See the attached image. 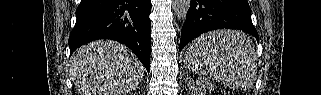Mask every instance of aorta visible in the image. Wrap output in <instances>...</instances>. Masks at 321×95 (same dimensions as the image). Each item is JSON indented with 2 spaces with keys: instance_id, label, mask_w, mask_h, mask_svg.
Instances as JSON below:
<instances>
[{
  "instance_id": "1",
  "label": "aorta",
  "mask_w": 321,
  "mask_h": 95,
  "mask_svg": "<svg viewBox=\"0 0 321 95\" xmlns=\"http://www.w3.org/2000/svg\"><path fill=\"white\" fill-rule=\"evenodd\" d=\"M191 0H173V9L179 21H185Z\"/></svg>"
}]
</instances>
